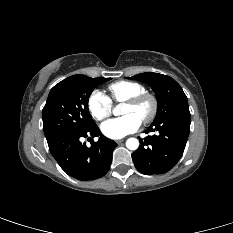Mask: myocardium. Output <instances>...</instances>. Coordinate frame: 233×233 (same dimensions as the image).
I'll list each match as a JSON object with an SVG mask.
<instances>
[{
  "mask_svg": "<svg viewBox=\"0 0 233 233\" xmlns=\"http://www.w3.org/2000/svg\"><path fill=\"white\" fill-rule=\"evenodd\" d=\"M149 101L151 103V110L149 114L141 120L143 124H148L152 122L158 113V100L155 95L149 93V92H143L141 94H138L124 102V104L130 105L132 107L138 106L141 103Z\"/></svg>",
  "mask_w": 233,
  "mask_h": 233,
  "instance_id": "1",
  "label": "myocardium"
}]
</instances>
